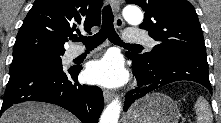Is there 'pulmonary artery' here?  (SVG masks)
I'll use <instances>...</instances> for the list:
<instances>
[{
	"instance_id": "obj_1",
	"label": "pulmonary artery",
	"mask_w": 221,
	"mask_h": 123,
	"mask_svg": "<svg viewBox=\"0 0 221 123\" xmlns=\"http://www.w3.org/2000/svg\"><path fill=\"white\" fill-rule=\"evenodd\" d=\"M125 40L129 43H146L150 47L155 45L153 39H151L145 32L137 28L128 29L125 33ZM84 52L85 49L82 47H73L68 51L67 57L73 59L80 56Z\"/></svg>"
}]
</instances>
